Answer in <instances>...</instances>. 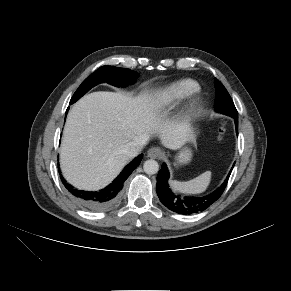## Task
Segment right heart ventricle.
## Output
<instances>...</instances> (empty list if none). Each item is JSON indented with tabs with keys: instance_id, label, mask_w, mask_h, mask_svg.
I'll use <instances>...</instances> for the list:
<instances>
[{
	"instance_id": "obj_1",
	"label": "right heart ventricle",
	"mask_w": 291,
	"mask_h": 291,
	"mask_svg": "<svg viewBox=\"0 0 291 291\" xmlns=\"http://www.w3.org/2000/svg\"><path fill=\"white\" fill-rule=\"evenodd\" d=\"M199 90V84L193 79H182L166 86L159 94L164 106L178 104Z\"/></svg>"
}]
</instances>
